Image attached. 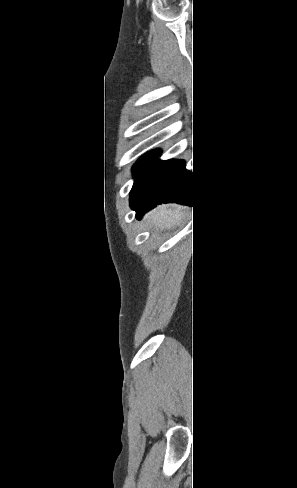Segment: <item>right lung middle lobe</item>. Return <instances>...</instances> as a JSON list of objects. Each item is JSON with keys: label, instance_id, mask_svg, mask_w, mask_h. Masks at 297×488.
Segmentation results:
<instances>
[{"label": "right lung middle lobe", "instance_id": "1", "mask_svg": "<svg viewBox=\"0 0 297 488\" xmlns=\"http://www.w3.org/2000/svg\"><path fill=\"white\" fill-rule=\"evenodd\" d=\"M160 150L151 151L145 155H143L138 162L133 166V174L135 177V183L133 188L139 183V181L143 178V176L147 173V171L151 168V166L155 163V161L160 156ZM132 188V190H133Z\"/></svg>", "mask_w": 297, "mask_h": 488}]
</instances>
